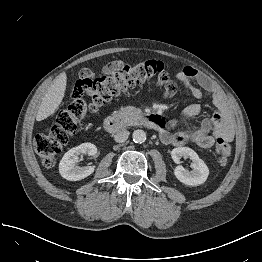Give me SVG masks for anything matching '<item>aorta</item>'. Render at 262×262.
<instances>
[{"label":"aorta","instance_id":"762f6f07","mask_svg":"<svg viewBox=\"0 0 262 262\" xmlns=\"http://www.w3.org/2000/svg\"><path fill=\"white\" fill-rule=\"evenodd\" d=\"M135 143L142 144L146 141V133L143 130L137 129L132 134Z\"/></svg>","mask_w":262,"mask_h":262}]
</instances>
